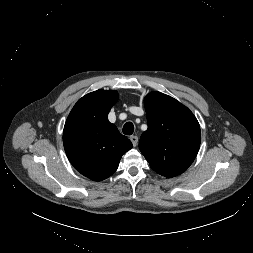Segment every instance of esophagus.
Listing matches in <instances>:
<instances>
[{"label":"esophagus","instance_id":"obj_1","mask_svg":"<svg viewBox=\"0 0 253 253\" xmlns=\"http://www.w3.org/2000/svg\"><path fill=\"white\" fill-rule=\"evenodd\" d=\"M130 140H131L134 147L137 146V144H138V137L137 136H135V135L130 136Z\"/></svg>","mask_w":253,"mask_h":253}]
</instances>
